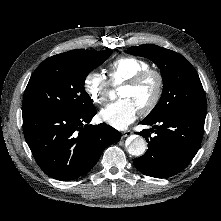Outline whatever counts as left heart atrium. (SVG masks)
<instances>
[{
  "instance_id": "39dd6f15",
  "label": "left heart atrium",
  "mask_w": 221,
  "mask_h": 221,
  "mask_svg": "<svg viewBox=\"0 0 221 221\" xmlns=\"http://www.w3.org/2000/svg\"><path fill=\"white\" fill-rule=\"evenodd\" d=\"M138 108L128 98H121L101 109L100 119L110 126L122 130L130 125L137 117Z\"/></svg>"
}]
</instances>
